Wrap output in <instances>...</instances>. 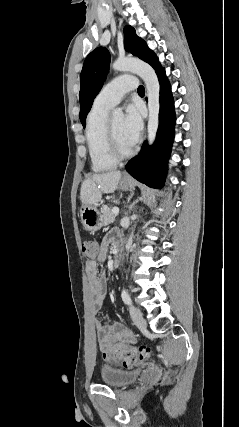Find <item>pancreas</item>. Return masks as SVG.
Here are the masks:
<instances>
[{"label": "pancreas", "mask_w": 239, "mask_h": 427, "mask_svg": "<svg viewBox=\"0 0 239 427\" xmlns=\"http://www.w3.org/2000/svg\"><path fill=\"white\" fill-rule=\"evenodd\" d=\"M103 225H109L114 222L116 215L113 214L112 209L104 207L102 210Z\"/></svg>", "instance_id": "pancreas-1"}]
</instances>
